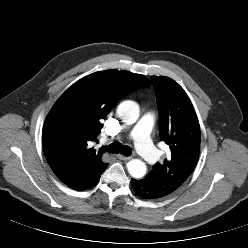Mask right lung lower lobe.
<instances>
[{"label":"right lung lower lobe","mask_w":248,"mask_h":248,"mask_svg":"<svg viewBox=\"0 0 248 248\" xmlns=\"http://www.w3.org/2000/svg\"><path fill=\"white\" fill-rule=\"evenodd\" d=\"M99 179H100V178H99ZM99 179H97L89 188L95 186V185L97 184V182L99 181ZM89 188H87V189H89Z\"/></svg>","instance_id":"right-lung-lower-lobe-1"}]
</instances>
